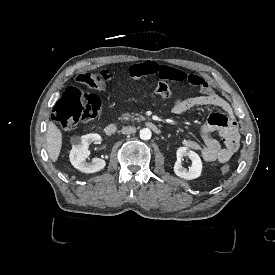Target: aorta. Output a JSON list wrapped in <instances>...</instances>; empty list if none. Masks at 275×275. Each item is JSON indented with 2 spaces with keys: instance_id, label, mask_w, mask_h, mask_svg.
<instances>
[{
  "instance_id": "aorta-1",
  "label": "aorta",
  "mask_w": 275,
  "mask_h": 275,
  "mask_svg": "<svg viewBox=\"0 0 275 275\" xmlns=\"http://www.w3.org/2000/svg\"><path fill=\"white\" fill-rule=\"evenodd\" d=\"M152 136L151 130L148 128H143L140 130V138L142 140H149Z\"/></svg>"
}]
</instances>
